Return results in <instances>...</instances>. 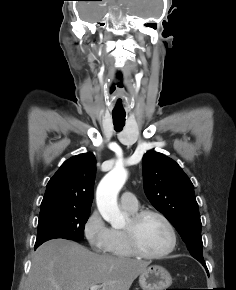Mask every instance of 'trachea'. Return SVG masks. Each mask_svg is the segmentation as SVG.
I'll return each instance as SVG.
<instances>
[{"instance_id": "3493384b", "label": "trachea", "mask_w": 236, "mask_h": 290, "mask_svg": "<svg viewBox=\"0 0 236 290\" xmlns=\"http://www.w3.org/2000/svg\"><path fill=\"white\" fill-rule=\"evenodd\" d=\"M113 124L116 131H121L125 125V113H112Z\"/></svg>"}]
</instances>
